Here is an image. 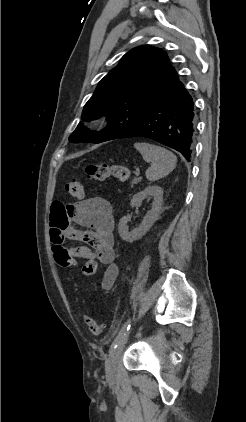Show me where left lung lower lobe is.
I'll return each mask as SVG.
<instances>
[{
  "label": "left lung lower lobe",
  "instance_id": "0a47b994",
  "mask_svg": "<svg viewBox=\"0 0 246 422\" xmlns=\"http://www.w3.org/2000/svg\"><path fill=\"white\" fill-rule=\"evenodd\" d=\"M146 137L180 152L193 153L195 108L191 95L176 76L145 114L118 138Z\"/></svg>",
  "mask_w": 246,
  "mask_h": 422
}]
</instances>
